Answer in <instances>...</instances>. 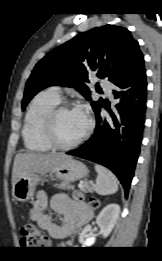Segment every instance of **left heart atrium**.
Masks as SVG:
<instances>
[{
  "label": "left heart atrium",
  "instance_id": "39dd6f15",
  "mask_svg": "<svg viewBox=\"0 0 162 261\" xmlns=\"http://www.w3.org/2000/svg\"><path fill=\"white\" fill-rule=\"evenodd\" d=\"M75 111L78 114V116L81 118L85 126L87 127L90 122L89 111L87 107L81 106L77 108Z\"/></svg>",
  "mask_w": 162,
  "mask_h": 261
}]
</instances>
